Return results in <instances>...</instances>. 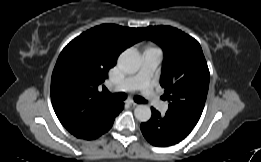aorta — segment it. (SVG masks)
I'll use <instances>...</instances> for the list:
<instances>
[{
	"label": "aorta",
	"instance_id": "1",
	"mask_svg": "<svg viewBox=\"0 0 261 162\" xmlns=\"http://www.w3.org/2000/svg\"><path fill=\"white\" fill-rule=\"evenodd\" d=\"M141 65V58L137 51L128 49L121 53L118 58L119 68L127 73L133 74L136 73ZM151 109L148 105H138L134 110V115L137 120L140 122H147L151 118Z\"/></svg>",
	"mask_w": 261,
	"mask_h": 162
}]
</instances>
